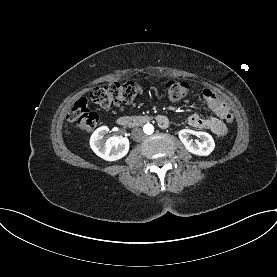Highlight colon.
I'll list each match as a JSON object with an SVG mask.
<instances>
[{"instance_id":"obj_1","label":"colon","mask_w":277,"mask_h":277,"mask_svg":"<svg viewBox=\"0 0 277 277\" xmlns=\"http://www.w3.org/2000/svg\"><path fill=\"white\" fill-rule=\"evenodd\" d=\"M165 88L169 98L175 101L183 99L190 91L189 83L179 79L168 80ZM141 91V86L136 82H116L92 89L89 97L93 103L108 108L113 105L132 102ZM67 118L69 121L75 122L77 128L83 131L92 130L98 123V115L90 111L86 98H80L74 103L67 114ZM225 119L228 123H233L235 121L234 113L227 112Z\"/></svg>"}]
</instances>
